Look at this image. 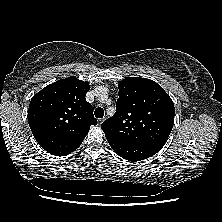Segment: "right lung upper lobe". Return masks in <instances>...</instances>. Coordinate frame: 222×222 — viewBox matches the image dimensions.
Returning a JSON list of instances; mask_svg holds the SVG:
<instances>
[{"label":"right lung upper lobe","mask_w":222,"mask_h":222,"mask_svg":"<svg viewBox=\"0 0 222 222\" xmlns=\"http://www.w3.org/2000/svg\"><path fill=\"white\" fill-rule=\"evenodd\" d=\"M88 82L75 76L56 81L30 102L28 122L38 144L52 155H68L77 149L96 125L93 109L85 99Z\"/></svg>","instance_id":"obj_1"}]
</instances>
